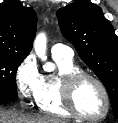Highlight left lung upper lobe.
Instances as JSON below:
<instances>
[{"instance_id": "obj_1", "label": "left lung upper lobe", "mask_w": 118, "mask_h": 123, "mask_svg": "<svg viewBox=\"0 0 118 123\" xmlns=\"http://www.w3.org/2000/svg\"><path fill=\"white\" fill-rule=\"evenodd\" d=\"M63 36L104 84L118 119V37L102 10L89 1L77 0L57 10Z\"/></svg>"}]
</instances>
